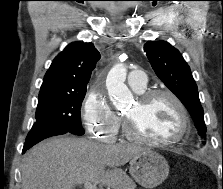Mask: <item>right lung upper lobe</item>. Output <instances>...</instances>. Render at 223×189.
I'll use <instances>...</instances> for the list:
<instances>
[{
	"label": "right lung upper lobe",
	"instance_id": "right-lung-upper-lobe-1",
	"mask_svg": "<svg viewBox=\"0 0 223 189\" xmlns=\"http://www.w3.org/2000/svg\"><path fill=\"white\" fill-rule=\"evenodd\" d=\"M99 59L100 53L93 43L69 44L54 58L44 76L40 93L68 92L86 88Z\"/></svg>",
	"mask_w": 223,
	"mask_h": 189
}]
</instances>
